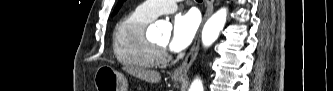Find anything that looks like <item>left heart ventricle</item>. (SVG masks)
<instances>
[{"instance_id":"b2bd125f","label":"left heart ventricle","mask_w":333,"mask_h":91,"mask_svg":"<svg viewBox=\"0 0 333 91\" xmlns=\"http://www.w3.org/2000/svg\"><path fill=\"white\" fill-rule=\"evenodd\" d=\"M168 42V35L160 37L155 41V44L165 47Z\"/></svg>"}]
</instances>
